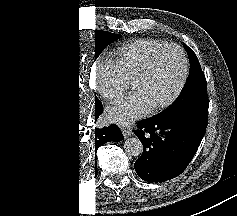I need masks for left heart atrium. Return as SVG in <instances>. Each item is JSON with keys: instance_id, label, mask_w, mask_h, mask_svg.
<instances>
[{"instance_id": "left-heart-atrium-1", "label": "left heart atrium", "mask_w": 237, "mask_h": 216, "mask_svg": "<svg viewBox=\"0 0 237 216\" xmlns=\"http://www.w3.org/2000/svg\"><path fill=\"white\" fill-rule=\"evenodd\" d=\"M152 111V102L147 97L125 96L118 98L112 106V117L119 123H139Z\"/></svg>"}]
</instances>
